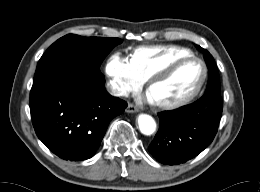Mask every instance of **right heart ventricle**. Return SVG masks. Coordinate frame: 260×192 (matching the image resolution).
<instances>
[{"instance_id":"1","label":"right heart ventricle","mask_w":260,"mask_h":192,"mask_svg":"<svg viewBox=\"0 0 260 192\" xmlns=\"http://www.w3.org/2000/svg\"><path fill=\"white\" fill-rule=\"evenodd\" d=\"M184 56H186V53L174 48L154 49L146 47L134 53L131 63L142 79H148L157 71Z\"/></svg>"}]
</instances>
